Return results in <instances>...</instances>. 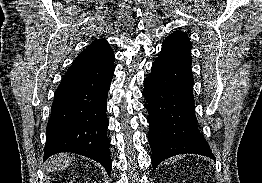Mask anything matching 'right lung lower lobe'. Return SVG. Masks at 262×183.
<instances>
[{
  "mask_svg": "<svg viewBox=\"0 0 262 183\" xmlns=\"http://www.w3.org/2000/svg\"><path fill=\"white\" fill-rule=\"evenodd\" d=\"M114 70V63L68 69L55 91L44 161L53 154L71 152L99 162L110 174L106 109Z\"/></svg>",
  "mask_w": 262,
  "mask_h": 183,
  "instance_id": "1",
  "label": "right lung lower lobe"
}]
</instances>
